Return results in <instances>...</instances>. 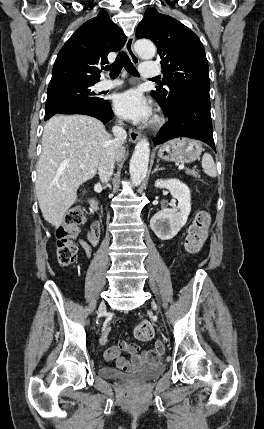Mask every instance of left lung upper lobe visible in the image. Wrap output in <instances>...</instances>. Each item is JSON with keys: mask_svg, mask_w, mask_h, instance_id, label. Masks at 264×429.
Segmentation results:
<instances>
[{"mask_svg": "<svg viewBox=\"0 0 264 429\" xmlns=\"http://www.w3.org/2000/svg\"><path fill=\"white\" fill-rule=\"evenodd\" d=\"M136 37L148 38L156 46L162 65L163 84L151 91L160 105H172L181 92L209 96V69L197 35L176 19L148 8Z\"/></svg>", "mask_w": 264, "mask_h": 429, "instance_id": "obj_1", "label": "left lung upper lobe"}]
</instances>
